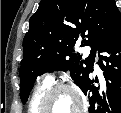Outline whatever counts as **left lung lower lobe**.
<instances>
[{
	"label": "left lung lower lobe",
	"instance_id": "1",
	"mask_svg": "<svg viewBox=\"0 0 121 113\" xmlns=\"http://www.w3.org/2000/svg\"><path fill=\"white\" fill-rule=\"evenodd\" d=\"M99 51L104 53L98 64L106 80V92H100L89 79L83 90L90 95L89 113H121V18Z\"/></svg>",
	"mask_w": 121,
	"mask_h": 113
}]
</instances>
